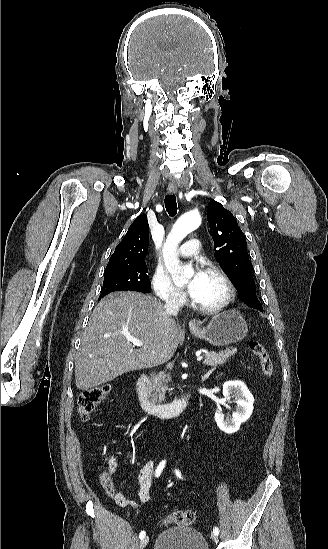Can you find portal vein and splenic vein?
I'll list each match as a JSON object with an SVG mask.
<instances>
[{
    "label": "portal vein and splenic vein",
    "instance_id": "18ae733b",
    "mask_svg": "<svg viewBox=\"0 0 328 549\" xmlns=\"http://www.w3.org/2000/svg\"><path fill=\"white\" fill-rule=\"evenodd\" d=\"M127 339L132 345H136V347H142L143 345L142 341H139V339H131V337H127ZM201 359H203V356H198L197 361H201Z\"/></svg>",
    "mask_w": 328,
    "mask_h": 549
}]
</instances>
